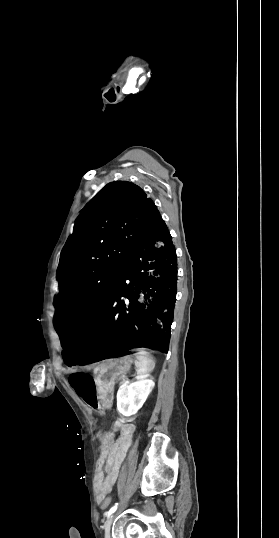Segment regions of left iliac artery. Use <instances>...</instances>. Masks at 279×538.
Here are the masks:
<instances>
[{"label": "left iliac artery", "mask_w": 279, "mask_h": 538, "mask_svg": "<svg viewBox=\"0 0 279 538\" xmlns=\"http://www.w3.org/2000/svg\"><path fill=\"white\" fill-rule=\"evenodd\" d=\"M118 507V503H116L107 513H106V516L109 517L112 513H114L116 511Z\"/></svg>", "instance_id": "44dca946"}]
</instances>
